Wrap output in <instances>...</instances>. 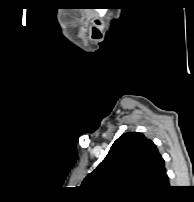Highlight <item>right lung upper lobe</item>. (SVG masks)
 I'll use <instances>...</instances> for the list:
<instances>
[{"label": "right lung upper lobe", "instance_id": "obj_1", "mask_svg": "<svg viewBox=\"0 0 194 202\" xmlns=\"http://www.w3.org/2000/svg\"><path fill=\"white\" fill-rule=\"evenodd\" d=\"M164 159L142 133L129 132L111 146L82 186L103 196L150 197L168 186Z\"/></svg>", "mask_w": 194, "mask_h": 202}]
</instances>
